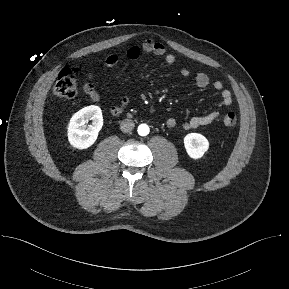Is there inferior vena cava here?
I'll return each mask as SVG.
<instances>
[{"label":"inferior vena cava","mask_w":289,"mask_h":289,"mask_svg":"<svg viewBox=\"0 0 289 289\" xmlns=\"http://www.w3.org/2000/svg\"><path fill=\"white\" fill-rule=\"evenodd\" d=\"M134 126H135L134 122L130 119H124L120 123V129L124 133L132 131L134 129Z\"/></svg>","instance_id":"inferior-vena-cava-1"}]
</instances>
